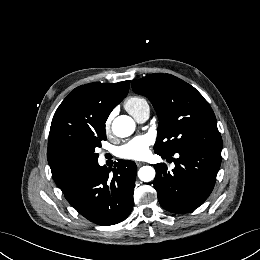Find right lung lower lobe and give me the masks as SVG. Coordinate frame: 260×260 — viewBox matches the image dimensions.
<instances>
[{
  "label": "right lung lower lobe",
  "mask_w": 260,
  "mask_h": 260,
  "mask_svg": "<svg viewBox=\"0 0 260 260\" xmlns=\"http://www.w3.org/2000/svg\"><path fill=\"white\" fill-rule=\"evenodd\" d=\"M113 176L96 164L64 192L67 201L85 218L98 225L119 223L130 214L134 200L136 164L129 160L115 162Z\"/></svg>",
  "instance_id": "1"
}]
</instances>
